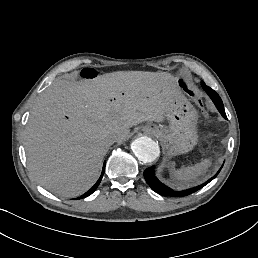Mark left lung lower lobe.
<instances>
[{
	"label": "left lung lower lobe",
	"instance_id": "obj_1",
	"mask_svg": "<svg viewBox=\"0 0 258 258\" xmlns=\"http://www.w3.org/2000/svg\"><path fill=\"white\" fill-rule=\"evenodd\" d=\"M202 87L207 92L209 97L212 99V101L214 102L215 106L217 107V109L219 110L221 115L225 119H227L225 110H224V106H223V102H222L221 98L219 97V95L213 89L206 86L204 82H202ZM154 168H155V166H151L144 171V178H145L146 182L148 183V185L152 188V190L163 196L181 197V196H187L191 193H194L195 191L204 187L206 184H208L210 181H212L218 175V173L220 172L222 167L216 173V175H214L211 179H209L204 184L199 185L194 188H191V189L183 190V191H174V190L170 189L169 187H167L166 185L162 184L156 178Z\"/></svg>",
	"mask_w": 258,
	"mask_h": 258
}]
</instances>
